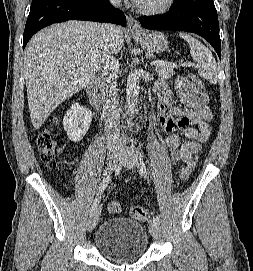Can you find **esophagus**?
Instances as JSON below:
<instances>
[{"instance_id": "esophagus-1", "label": "esophagus", "mask_w": 253, "mask_h": 271, "mask_svg": "<svg viewBox=\"0 0 253 271\" xmlns=\"http://www.w3.org/2000/svg\"><path fill=\"white\" fill-rule=\"evenodd\" d=\"M127 28L131 33H141L142 31L139 22L131 15L127 17Z\"/></svg>"}]
</instances>
